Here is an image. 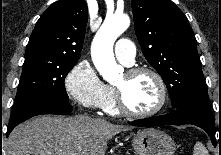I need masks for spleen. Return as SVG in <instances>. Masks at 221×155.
<instances>
[{
    "label": "spleen",
    "instance_id": "1",
    "mask_svg": "<svg viewBox=\"0 0 221 155\" xmlns=\"http://www.w3.org/2000/svg\"><path fill=\"white\" fill-rule=\"evenodd\" d=\"M193 155H209V153L201 142H197L194 146Z\"/></svg>",
    "mask_w": 221,
    "mask_h": 155
}]
</instances>
